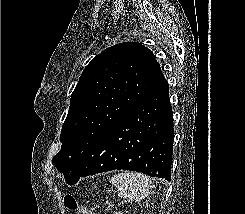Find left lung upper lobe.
I'll return each mask as SVG.
<instances>
[{"mask_svg":"<svg viewBox=\"0 0 245 214\" xmlns=\"http://www.w3.org/2000/svg\"><path fill=\"white\" fill-rule=\"evenodd\" d=\"M166 81L152 51L139 42L114 45L86 66L62 126L53 157L66 176L106 130Z\"/></svg>","mask_w":245,"mask_h":214,"instance_id":"1","label":"left lung upper lobe"}]
</instances>
